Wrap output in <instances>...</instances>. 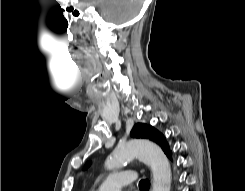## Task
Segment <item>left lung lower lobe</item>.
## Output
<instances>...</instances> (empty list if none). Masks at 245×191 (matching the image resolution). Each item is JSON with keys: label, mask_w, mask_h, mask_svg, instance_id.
Returning <instances> with one entry per match:
<instances>
[{"label": "left lung lower lobe", "mask_w": 245, "mask_h": 191, "mask_svg": "<svg viewBox=\"0 0 245 191\" xmlns=\"http://www.w3.org/2000/svg\"><path fill=\"white\" fill-rule=\"evenodd\" d=\"M171 155H172V153L169 152V154L167 155V157H168L169 159H171Z\"/></svg>", "instance_id": "1"}]
</instances>
